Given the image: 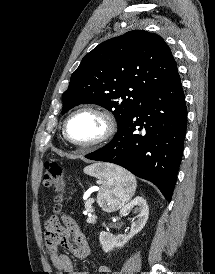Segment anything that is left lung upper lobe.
Listing matches in <instances>:
<instances>
[{
    "mask_svg": "<svg viewBox=\"0 0 215 274\" xmlns=\"http://www.w3.org/2000/svg\"><path fill=\"white\" fill-rule=\"evenodd\" d=\"M178 73L165 41L134 30L104 41L84 56L63 93L62 113L97 104L114 114L118 127L153 91Z\"/></svg>",
    "mask_w": 215,
    "mask_h": 274,
    "instance_id": "1",
    "label": "left lung upper lobe"
}]
</instances>
